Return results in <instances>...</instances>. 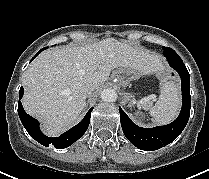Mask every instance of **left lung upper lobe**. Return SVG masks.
Masks as SVG:
<instances>
[{
	"mask_svg": "<svg viewBox=\"0 0 209 179\" xmlns=\"http://www.w3.org/2000/svg\"><path fill=\"white\" fill-rule=\"evenodd\" d=\"M174 53L175 51L173 49L168 47H163V54L165 55V57L167 54H171L172 56H174L175 55Z\"/></svg>",
	"mask_w": 209,
	"mask_h": 179,
	"instance_id": "left-lung-upper-lobe-1",
	"label": "left lung upper lobe"
}]
</instances>
